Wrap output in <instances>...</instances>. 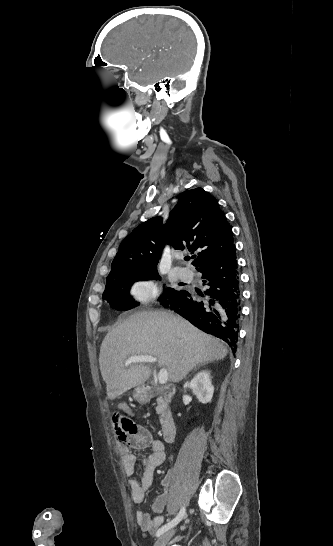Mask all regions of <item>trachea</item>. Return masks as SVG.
<instances>
[{
	"label": "trachea",
	"mask_w": 333,
	"mask_h": 546,
	"mask_svg": "<svg viewBox=\"0 0 333 546\" xmlns=\"http://www.w3.org/2000/svg\"><path fill=\"white\" fill-rule=\"evenodd\" d=\"M185 260H187V261L190 260V257H186Z\"/></svg>",
	"instance_id": "obj_1"
}]
</instances>
